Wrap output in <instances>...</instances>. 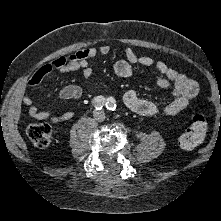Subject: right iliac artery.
Returning a JSON list of instances; mask_svg holds the SVG:
<instances>
[{
  "mask_svg": "<svg viewBox=\"0 0 221 221\" xmlns=\"http://www.w3.org/2000/svg\"><path fill=\"white\" fill-rule=\"evenodd\" d=\"M93 106L96 108V110H101L103 107H107V99H105L103 96H97L92 101Z\"/></svg>",
  "mask_w": 221,
  "mask_h": 221,
  "instance_id": "right-iliac-artery-1",
  "label": "right iliac artery"
}]
</instances>
